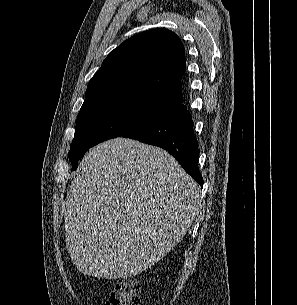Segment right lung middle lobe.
<instances>
[{
	"label": "right lung middle lobe",
	"instance_id": "dd1d6c3e",
	"mask_svg": "<svg viewBox=\"0 0 297 305\" xmlns=\"http://www.w3.org/2000/svg\"><path fill=\"white\" fill-rule=\"evenodd\" d=\"M174 105L146 96H119L80 109L68 153L73 170L94 145L124 136L165 113Z\"/></svg>",
	"mask_w": 297,
	"mask_h": 305
}]
</instances>
